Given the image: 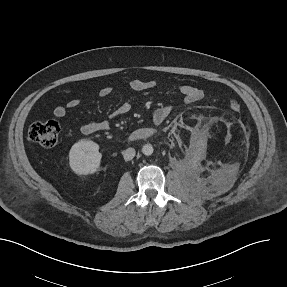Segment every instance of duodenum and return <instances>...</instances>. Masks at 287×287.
<instances>
[{"label":"duodenum","mask_w":287,"mask_h":287,"mask_svg":"<svg viewBox=\"0 0 287 287\" xmlns=\"http://www.w3.org/2000/svg\"><path fill=\"white\" fill-rule=\"evenodd\" d=\"M154 131L151 128H139L133 131L127 138L129 142L144 140L152 137Z\"/></svg>","instance_id":"obj_1"}]
</instances>
